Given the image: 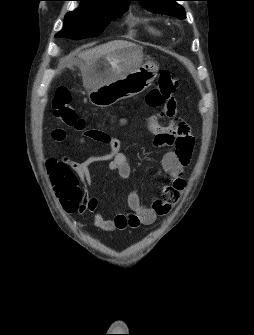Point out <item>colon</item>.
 I'll return each mask as SVG.
<instances>
[{"label": "colon", "mask_w": 254, "mask_h": 335, "mask_svg": "<svg viewBox=\"0 0 254 335\" xmlns=\"http://www.w3.org/2000/svg\"><path fill=\"white\" fill-rule=\"evenodd\" d=\"M178 85H179L178 80L175 78V76L169 70H163L159 75L157 85L147 93L145 97L146 104L149 107L153 108L157 107L164 108L165 104H167L166 100L169 94H174L178 89ZM51 107L54 116L63 125L74 129H82L84 127L85 122L78 115L75 108L72 106L71 94L66 87H59L56 90L55 95L51 102ZM96 131L101 138H104L106 136V133H104L103 131L101 130ZM55 163L59 168L64 169L63 164L56 159L48 160L47 166L51 167ZM56 178H58V174L54 173L51 177V180L55 186L57 185ZM59 185L64 188H67L66 183L63 181H60ZM57 192H59V194H63L62 191ZM72 195L76 201L81 200L83 197V193L81 189H79L78 187L75 189Z\"/></svg>", "instance_id": "5ec220e1"}]
</instances>
